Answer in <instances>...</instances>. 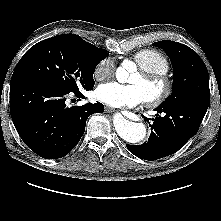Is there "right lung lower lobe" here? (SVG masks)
I'll return each mask as SVG.
<instances>
[{
    "mask_svg": "<svg viewBox=\"0 0 221 221\" xmlns=\"http://www.w3.org/2000/svg\"><path fill=\"white\" fill-rule=\"evenodd\" d=\"M68 93L30 76L12 75L10 113L14 126L23 142L43 158L67 155L82 137L87 118L104 112L99 102L67 107ZM74 94L84 98L79 91Z\"/></svg>",
    "mask_w": 221,
    "mask_h": 221,
    "instance_id": "obj_1",
    "label": "right lung lower lobe"
}]
</instances>
